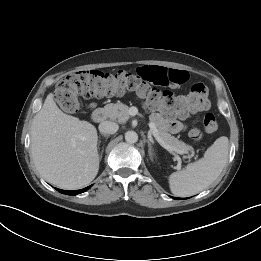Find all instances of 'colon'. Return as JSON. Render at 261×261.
<instances>
[{
	"instance_id": "colon-1",
	"label": "colon",
	"mask_w": 261,
	"mask_h": 261,
	"mask_svg": "<svg viewBox=\"0 0 261 261\" xmlns=\"http://www.w3.org/2000/svg\"><path fill=\"white\" fill-rule=\"evenodd\" d=\"M134 92L144 98L153 109L162 111L168 117L186 116L209 106L208 87L201 82L194 83L187 94H176L169 90L152 88L138 75L124 70L109 73L100 70L78 71L62 78L56 86L55 99L59 107L68 113L79 109V97L86 99L121 95ZM207 132H215L217 120L212 113L203 117ZM190 137L198 141L201 132L198 128L190 131Z\"/></svg>"
}]
</instances>
